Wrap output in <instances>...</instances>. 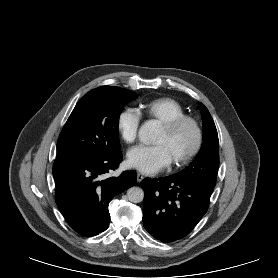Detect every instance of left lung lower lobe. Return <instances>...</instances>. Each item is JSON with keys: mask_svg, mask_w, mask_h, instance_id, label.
Masks as SVG:
<instances>
[{"mask_svg": "<svg viewBox=\"0 0 278 278\" xmlns=\"http://www.w3.org/2000/svg\"><path fill=\"white\" fill-rule=\"evenodd\" d=\"M143 224L161 242L185 237L206 213L215 186L171 176L144 179Z\"/></svg>", "mask_w": 278, "mask_h": 278, "instance_id": "1", "label": "left lung lower lobe"}]
</instances>
